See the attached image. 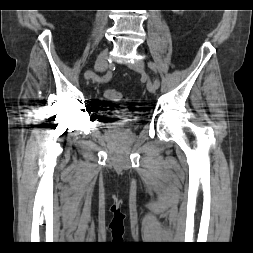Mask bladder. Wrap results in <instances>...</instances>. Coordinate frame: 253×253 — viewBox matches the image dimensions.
I'll list each match as a JSON object with an SVG mask.
<instances>
[{"instance_id":"obj_1","label":"bladder","mask_w":253,"mask_h":253,"mask_svg":"<svg viewBox=\"0 0 253 253\" xmlns=\"http://www.w3.org/2000/svg\"><path fill=\"white\" fill-rule=\"evenodd\" d=\"M140 120L133 116H128L125 120L109 124L108 127L121 128V129H133L139 124Z\"/></svg>"}]
</instances>
